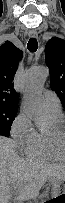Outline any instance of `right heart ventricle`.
I'll return each mask as SVG.
<instances>
[{"label":"right heart ventricle","instance_id":"obj_1","mask_svg":"<svg viewBox=\"0 0 65 203\" xmlns=\"http://www.w3.org/2000/svg\"><path fill=\"white\" fill-rule=\"evenodd\" d=\"M57 141L48 134H36L34 141L28 149V156L35 159L58 160L61 155L57 151Z\"/></svg>","mask_w":65,"mask_h":203}]
</instances>
